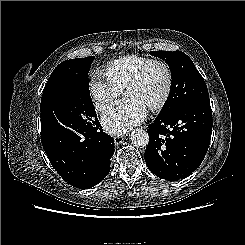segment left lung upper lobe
Listing matches in <instances>:
<instances>
[{
	"instance_id": "obj_1",
	"label": "left lung upper lobe",
	"mask_w": 245,
	"mask_h": 245,
	"mask_svg": "<svg viewBox=\"0 0 245 245\" xmlns=\"http://www.w3.org/2000/svg\"><path fill=\"white\" fill-rule=\"evenodd\" d=\"M150 54L165 60L171 70L170 94L157 117H169L194 99L209 98L203 77L185 53L151 51Z\"/></svg>"
}]
</instances>
